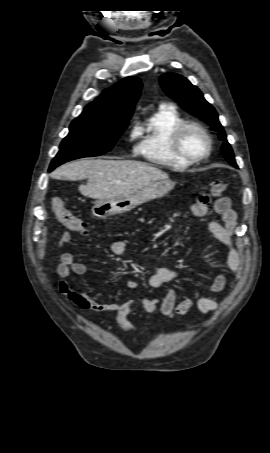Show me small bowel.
Segmentation results:
<instances>
[{
    "instance_id": "1",
    "label": "small bowel",
    "mask_w": 270,
    "mask_h": 453,
    "mask_svg": "<svg viewBox=\"0 0 270 453\" xmlns=\"http://www.w3.org/2000/svg\"><path fill=\"white\" fill-rule=\"evenodd\" d=\"M215 212L220 216L221 222L211 221L208 224L210 233L222 244L228 248L226 259L227 267L232 278L226 274H218L209 286V291L213 294H219L226 289L233 288L235 284L234 277L239 273L241 266L240 249L232 241V236L236 227V214L231 207V201L227 197H221L215 201ZM207 202L198 200L192 207V212L196 217H203L207 214ZM72 241V234L64 232L58 242V248H62ZM126 242L117 240L112 243L111 250L116 256L122 257L126 252ZM87 271L86 265L75 261L74 255L65 252L61 255V262L57 267V273L61 277L59 290L67 296L78 308L85 311L114 313L117 325L134 339H139V334L135 327L127 320V314L135 307H140L149 313H160L167 318H173L176 315H183L193 308H197L203 314H209L220 308L221 303L216 299L206 297L200 293L195 294L192 298L181 301L177 300L176 291L173 288H167L161 296L152 298L133 299L125 303L111 302L102 303L88 296L86 293L73 289L69 283L71 274L84 275ZM181 277L177 269L163 267L149 278V285L152 288H160L167 283H171ZM126 286L130 290L139 287V282L130 279Z\"/></svg>"
}]
</instances>
